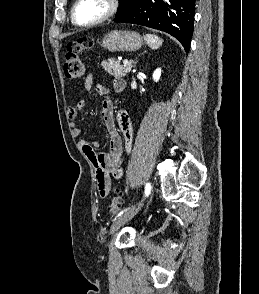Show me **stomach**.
I'll return each mask as SVG.
<instances>
[{"instance_id": "1", "label": "stomach", "mask_w": 259, "mask_h": 294, "mask_svg": "<svg viewBox=\"0 0 259 294\" xmlns=\"http://www.w3.org/2000/svg\"><path fill=\"white\" fill-rule=\"evenodd\" d=\"M143 44L142 37L133 31H111L103 39L101 46L110 52H132Z\"/></svg>"}]
</instances>
